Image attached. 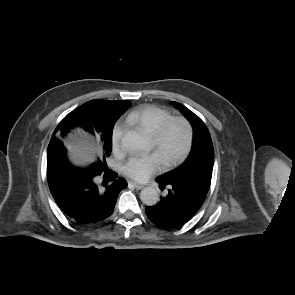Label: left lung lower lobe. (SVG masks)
<instances>
[{
  "mask_svg": "<svg viewBox=\"0 0 295 295\" xmlns=\"http://www.w3.org/2000/svg\"><path fill=\"white\" fill-rule=\"evenodd\" d=\"M160 189L167 187L168 194L158 204L146 207L148 218L163 228L178 227L189 221L202 206L209 187L207 184L185 183L156 179Z\"/></svg>",
  "mask_w": 295,
  "mask_h": 295,
  "instance_id": "0a47b994",
  "label": "left lung lower lobe"
}]
</instances>
